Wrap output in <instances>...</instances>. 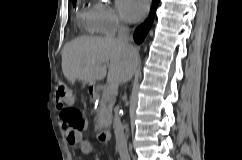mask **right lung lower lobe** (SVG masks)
<instances>
[{
	"label": "right lung lower lobe",
	"mask_w": 242,
	"mask_h": 160,
	"mask_svg": "<svg viewBox=\"0 0 242 160\" xmlns=\"http://www.w3.org/2000/svg\"><path fill=\"white\" fill-rule=\"evenodd\" d=\"M158 4H159V0H153V6H152V9H151V13H150L149 18L136 29V31L134 33V39L138 43L143 41L144 37L146 36L148 31L150 30L151 25L153 23L155 10H156Z\"/></svg>",
	"instance_id": "obj_1"
}]
</instances>
